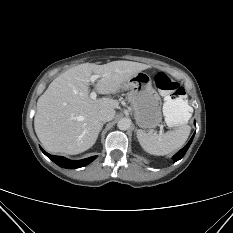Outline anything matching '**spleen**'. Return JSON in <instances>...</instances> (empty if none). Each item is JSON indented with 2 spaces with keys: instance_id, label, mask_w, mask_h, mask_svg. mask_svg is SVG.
Returning a JSON list of instances; mask_svg holds the SVG:
<instances>
[{
  "instance_id": "spleen-1",
  "label": "spleen",
  "mask_w": 233,
  "mask_h": 233,
  "mask_svg": "<svg viewBox=\"0 0 233 233\" xmlns=\"http://www.w3.org/2000/svg\"><path fill=\"white\" fill-rule=\"evenodd\" d=\"M191 107L182 99L167 98L163 105V114L168 126L180 125L179 128L164 134L153 131L137 130V138L142 148L150 154L163 156L180 149L186 142L190 127Z\"/></svg>"
}]
</instances>
